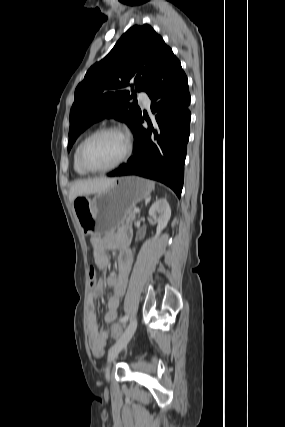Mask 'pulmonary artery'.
Segmentation results:
<instances>
[{
	"label": "pulmonary artery",
	"mask_w": 285,
	"mask_h": 427,
	"mask_svg": "<svg viewBox=\"0 0 285 427\" xmlns=\"http://www.w3.org/2000/svg\"><path fill=\"white\" fill-rule=\"evenodd\" d=\"M139 101L141 102V104L145 107V108H149L150 106V99L149 96L147 95L146 92L141 91L139 93Z\"/></svg>",
	"instance_id": "obj_1"
}]
</instances>
